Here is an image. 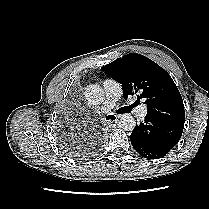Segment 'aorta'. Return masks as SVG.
<instances>
[{"label": "aorta", "instance_id": "1", "mask_svg": "<svg viewBox=\"0 0 209 209\" xmlns=\"http://www.w3.org/2000/svg\"><path fill=\"white\" fill-rule=\"evenodd\" d=\"M85 98L89 104H101L104 100V91L99 85H90L86 88ZM135 125V119L130 114L121 115L118 122V126L125 131H132Z\"/></svg>", "mask_w": 209, "mask_h": 209}]
</instances>
